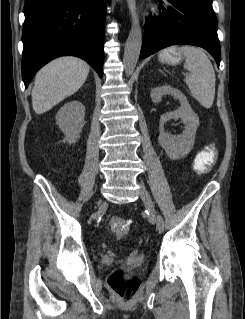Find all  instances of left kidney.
Listing matches in <instances>:
<instances>
[{"label": "left kidney", "instance_id": "5707ae66", "mask_svg": "<svg viewBox=\"0 0 245 319\" xmlns=\"http://www.w3.org/2000/svg\"><path fill=\"white\" fill-rule=\"evenodd\" d=\"M164 95H171L177 98L180 102V107L175 111L161 115L158 141L162 148L165 149L168 157L179 159L189 154L193 148L196 131L199 126V117L192 110L186 96L179 89L170 85H164L153 88L150 93L153 103L160 102ZM179 118L185 124L181 135L174 136L168 132H164V125L167 121Z\"/></svg>", "mask_w": 245, "mask_h": 319}]
</instances>
